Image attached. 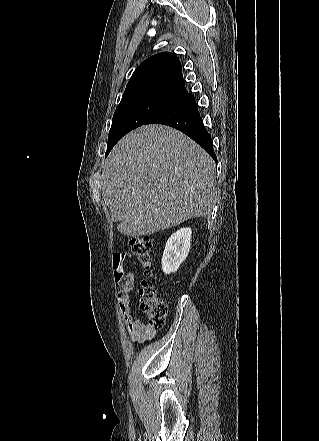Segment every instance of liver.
Returning a JSON list of instances; mask_svg holds the SVG:
<instances>
[{
	"label": "liver",
	"mask_w": 319,
	"mask_h": 441,
	"mask_svg": "<svg viewBox=\"0 0 319 441\" xmlns=\"http://www.w3.org/2000/svg\"><path fill=\"white\" fill-rule=\"evenodd\" d=\"M215 162L192 139L165 125H145L112 149L102 172V196L130 237L206 217L217 201Z\"/></svg>",
	"instance_id": "obj_1"
}]
</instances>
